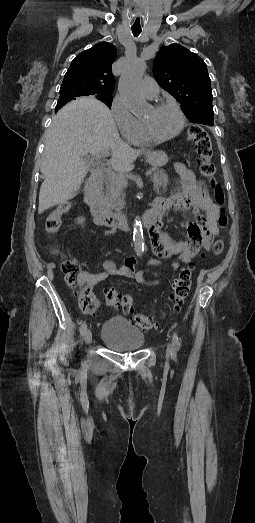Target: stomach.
<instances>
[{
    "label": "stomach",
    "instance_id": "obj_1",
    "mask_svg": "<svg viewBox=\"0 0 255 523\" xmlns=\"http://www.w3.org/2000/svg\"><path fill=\"white\" fill-rule=\"evenodd\" d=\"M169 159V154L166 151L161 152H148L146 156V160L150 166H156V168H159V166H164L166 162Z\"/></svg>",
    "mask_w": 255,
    "mask_h": 523
}]
</instances>
